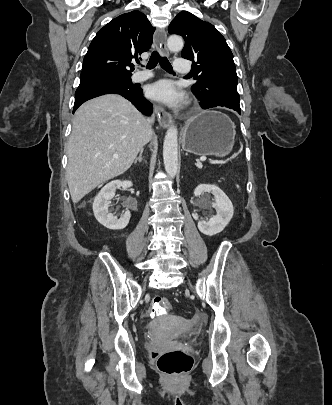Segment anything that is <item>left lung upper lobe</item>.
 <instances>
[{
	"label": "left lung upper lobe",
	"instance_id": "left-lung-upper-lobe-1",
	"mask_svg": "<svg viewBox=\"0 0 332 405\" xmlns=\"http://www.w3.org/2000/svg\"><path fill=\"white\" fill-rule=\"evenodd\" d=\"M168 32L185 40L182 57L192 61V75L197 83L191 90L201 107L221 106L240 112L233 54L217 29L182 11L170 23Z\"/></svg>",
	"mask_w": 332,
	"mask_h": 405
}]
</instances>
